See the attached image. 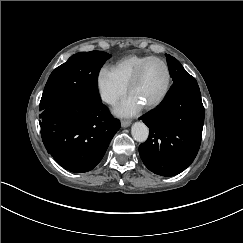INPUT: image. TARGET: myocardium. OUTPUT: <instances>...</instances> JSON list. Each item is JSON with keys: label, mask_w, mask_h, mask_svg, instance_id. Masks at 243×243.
I'll use <instances>...</instances> for the list:
<instances>
[{"label": "myocardium", "mask_w": 243, "mask_h": 243, "mask_svg": "<svg viewBox=\"0 0 243 243\" xmlns=\"http://www.w3.org/2000/svg\"><path fill=\"white\" fill-rule=\"evenodd\" d=\"M151 61H158V62H160V63H162L164 65V67L167 70V74H168V83H167L166 89L164 90L163 94L158 99H156L155 101L144 105L145 108H147V109H152V108H155V107L161 105L165 101V99L168 97V95H169V93H170V91L172 89V85H173V73H172L170 65L164 59L154 56V57H151V58L143 61L139 65V67L137 68L136 72L134 73V75L131 77V79L129 80V82L126 85L127 92L130 93L131 88L140 79L144 68Z\"/></svg>", "instance_id": "1"}]
</instances>
